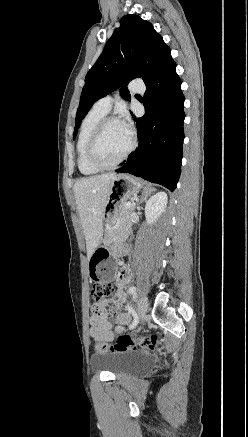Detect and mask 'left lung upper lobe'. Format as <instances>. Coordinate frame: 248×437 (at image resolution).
Returning a JSON list of instances; mask_svg holds the SVG:
<instances>
[{"mask_svg": "<svg viewBox=\"0 0 248 437\" xmlns=\"http://www.w3.org/2000/svg\"><path fill=\"white\" fill-rule=\"evenodd\" d=\"M171 51L153 25L137 15H126L85 77L75 119L73 138L82 119L100 98L124 85L121 95L130 98L126 88L135 78L148 83L172 61Z\"/></svg>", "mask_w": 248, "mask_h": 437, "instance_id": "left-lung-upper-lobe-1", "label": "left lung upper lobe"}]
</instances>
